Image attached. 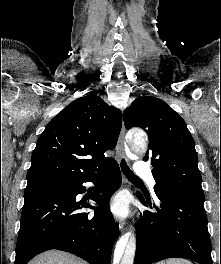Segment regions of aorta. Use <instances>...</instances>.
<instances>
[{"label":"aorta","mask_w":221,"mask_h":264,"mask_svg":"<svg viewBox=\"0 0 221 264\" xmlns=\"http://www.w3.org/2000/svg\"><path fill=\"white\" fill-rule=\"evenodd\" d=\"M129 147L137 154H144L147 150L145 135H131ZM136 251V235L128 233L122 236L116 244L113 264H133Z\"/></svg>","instance_id":"aorta-1"}]
</instances>
